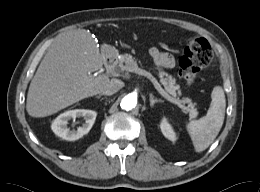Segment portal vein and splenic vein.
I'll return each instance as SVG.
<instances>
[{"mask_svg": "<svg viewBox=\"0 0 260 192\" xmlns=\"http://www.w3.org/2000/svg\"><path fill=\"white\" fill-rule=\"evenodd\" d=\"M129 72H135L139 75L145 76L147 77L154 85V87L157 89V91L168 101H170L171 103H174L176 105H178L180 108H182L183 110L186 109V107H184L178 100L172 98L168 93L165 92V90L161 87V85L158 83V81L156 80V78L148 71L141 69L138 67V65L135 66H131L128 67L126 69Z\"/></svg>", "mask_w": 260, "mask_h": 192, "instance_id": "obj_1", "label": "portal vein and splenic vein"}]
</instances>
